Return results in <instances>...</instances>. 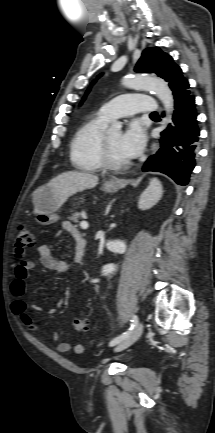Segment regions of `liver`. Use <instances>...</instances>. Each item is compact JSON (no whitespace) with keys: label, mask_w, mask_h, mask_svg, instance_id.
I'll use <instances>...</instances> for the list:
<instances>
[{"label":"liver","mask_w":215,"mask_h":433,"mask_svg":"<svg viewBox=\"0 0 215 433\" xmlns=\"http://www.w3.org/2000/svg\"><path fill=\"white\" fill-rule=\"evenodd\" d=\"M98 184L96 175L78 171H66L51 179L47 186L51 187L62 205L73 194L85 189L94 188ZM37 213V210H35Z\"/></svg>","instance_id":"6515ba94"}]
</instances>
